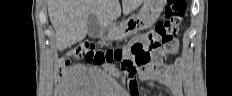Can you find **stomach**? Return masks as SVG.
I'll list each match as a JSON object with an SVG mask.
<instances>
[{
	"label": "stomach",
	"instance_id": "0dacf381",
	"mask_svg": "<svg viewBox=\"0 0 232 96\" xmlns=\"http://www.w3.org/2000/svg\"><path fill=\"white\" fill-rule=\"evenodd\" d=\"M166 0H145L140 12L122 23L112 25L103 32L102 38L108 41H122L137 31L151 27L160 16Z\"/></svg>",
	"mask_w": 232,
	"mask_h": 96
}]
</instances>
